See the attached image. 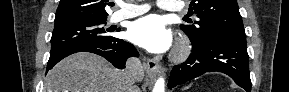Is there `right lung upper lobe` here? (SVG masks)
Returning <instances> with one entry per match:
<instances>
[{"mask_svg": "<svg viewBox=\"0 0 289 92\" xmlns=\"http://www.w3.org/2000/svg\"><path fill=\"white\" fill-rule=\"evenodd\" d=\"M107 5H110L108 0H60L55 22L77 18L107 19Z\"/></svg>", "mask_w": 289, "mask_h": 92, "instance_id": "cb5924a9", "label": "right lung upper lobe"}]
</instances>
